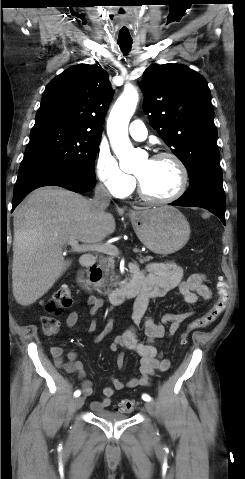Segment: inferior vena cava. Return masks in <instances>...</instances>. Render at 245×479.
Wrapping results in <instances>:
<instances>
[{"label":"inferior vena cava","mask_w":245,"mask_h":479,"mask_svg":"<svg viewBox=\"0 0 245 479\" xmlns=\"http://www.w3.org/2000/svg\"><path fill=\"white\" fill-rule=\"evenodd\" d=\"M111 195L103 185H98L95 189V196L92 203L100 210L105 211L109 206Z\"/></svg>","instance_id":"inferior-vena-cava-1"}]
</instances>
